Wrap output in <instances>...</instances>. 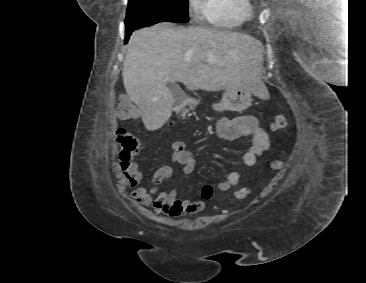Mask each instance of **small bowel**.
<instances>
[{"label":"small bowel","mask_w":366,"mask_h":283,"mask_svg":"<svg viewBox=\"0 0 366 283\" xmlns=\"http://www.w3.org/2000/svg\"><path fill=\"white\" fill-rule=\"evenodd\" d=\"M215 129L217 134L226 140L239 137L249 139V148L243 155V162L247 166H253L257 157L269 148L267 131L259 124L257 117L244 115L235 118L220 117L216 120ZM173 163L181 165L182 175L188 176L195 167L196 161L191 152L185 149L182 141H174L171 145ZM174 173L173 166L163 165L156 169L149 184L140 186L143 174L134 162L122 163V178L125 184L134 188L130 195L143 207L152 205L157 214L169 217H177L180 214H193L203 207L202 201L179 199L176 191H161L162 184L170 179ZM241 174L237 171L229 173L227 180L218 185L221 191H228L231 187L239 185Z\"/></svg>","instance_id":"obj_1"}]
</instances>
